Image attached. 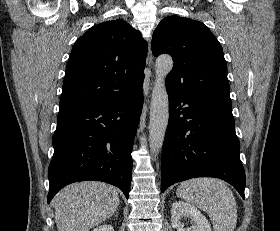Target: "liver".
Instances as JSON below:
<instances>
[{
	"label": "liver",
	"mask_w": 280,
	"mask_h": 231,
	"mask_svg": "<svg viewBox=\"0 0 280 231\" xmlns=\"http://www.w3.org/2000/svg\"><path fill=\"white\" fill-rule=\"evenodd\" d=\"M119 201L116 187L103 181L66 185L52 201L58 231H89L94 225L109 219Z\"/></svg>",
	"instance_id": "obj_1"
}]
</instances>
